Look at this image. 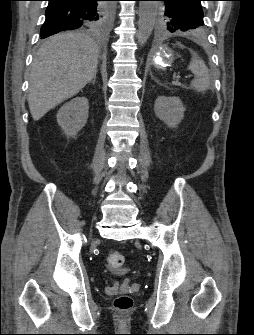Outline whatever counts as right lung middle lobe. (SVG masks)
Here are the masks:
<instances>
[{"mask_svg":"<svg viewBox=\"0 0 254 335\" xmlns=\"http://www.w3.org/2000/svg\"><path fill=\"white\" fill-rule=\"evenodd\" d=\"M107 12H108L107 8H100V15L93 29L99 28L104 24V22L107 20V17H108Z\"/></svg>","mask_w":254,"mask_h":335,"instance_id":"obj_1","label":"right lung middle lobe"}]
</instances>
